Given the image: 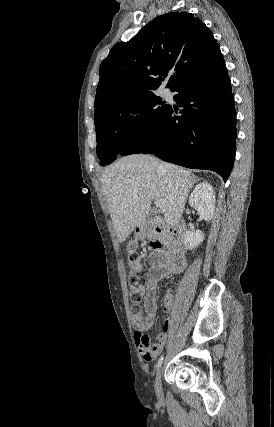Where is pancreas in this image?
Here are the masks:
<instances>
[{"mask_svg": "<svg viewBox=\"0 0 274 427\" xmlns=\"http://www.w3.org/2000/svg\"><path fill=\"white\" fill-rule=\"evenodd\" d=\"M148 235L149 237H156L158 235L157 231H155V225H152V229H150Z\"/></svg>", "mask_w": 274, "mask_h": 427, "instance_id": "pancreas-1", "label": "pancreas"}]
</instances>
